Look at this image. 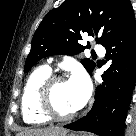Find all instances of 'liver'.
I'll use <instances>...</instances> for the list:
<instances>
[{
  "label": "liver",
  "instance_id": "1",
  "mask_svg": "<svg viewBox=\"0 0 136 136\" xmlns=\"http://www.w3.org/2000/svg\"><path fill=\"white\" fill-rule=\"evenodd\" d=\"M67 130L60 127H48L44 129H30L17 134V136H54L59 133H66Z\"/></svg>",
  "mask_w": 136,
  "mask_h": 136
}]
</instances>
